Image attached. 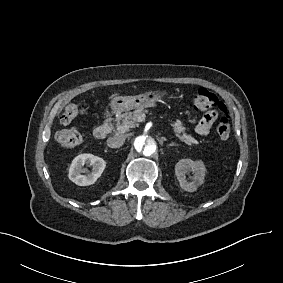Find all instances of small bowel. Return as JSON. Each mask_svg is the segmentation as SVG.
Instances as JSON below:
<instances>
[{
  "label": "small bowel",
  "instance_id": "small-bowel-1",
  "mask_svg": "<svg viewBox=\"0 0 283 283\" xmlns=\"http://www.w3.org/2000/svg\"><path fill=\"white\" fill-rule=\"evenodd\" d=\"M224 107L222 105H215L213 107L212 112L206 113L203 115V117L200 119L198 124L195 127V131L200 136H206L208 135L210 128L212 126V123L215 119V117H222L224 115Z\"/></svg>",
  "mask_w": 283,
  "mask_h": 283
}]
</instances>
